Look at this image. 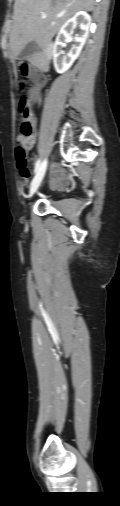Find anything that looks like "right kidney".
Listing matches in <instances>:
<instances>
[{
	"label": "right kidney",
	"instance_id": "1",
	"mask_svg": "<svg viewBox=\"0 0 120 506\" xmlns=\"http://www.w3.org/2000/svg\"><path fill=\"white\" fill-rule=\"evenodd\" d=\"M90 25L91 17L85 11L77 12L62 25L53 47V62L58 73L66 72L78 58L88 37ZM76 26H79L80 32L72 38V31ZM71 39L73 45L69 53L66 54L62 47L65 46L67 40Z\"/></svg>",
	"mask_w": 120,
	"mask_h": 506
}]
</instances>
